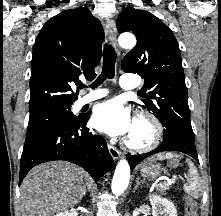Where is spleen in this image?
<instances>
[{
	"instance_id": "obj_1",
	"label": "spleen",
	"mask_w": 221,
	"mask_h": 216,
	"mask_svg": "<svg viewBox=\"0 0 221 216\" xmlns=\"http://www.w3.org/2000/svg\"><path fill=\"white\" fill-rule=\"evenodd\" d=\"M173 153H166V154H158L156 156L157 160H164V159H170L173 158ZM189 165V184L187 186L188 192L193 195L195 198L199 197V191H200V178L197 173V169L194 166V164L190 161H188Z\"/></svg>"
}]
</instances>
